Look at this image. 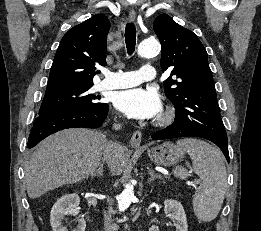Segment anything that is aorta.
<instances>
[{"label": "aorta", "mask_w": 261, "mask_h": 231, "mask_svg": "<svg viewBox=\"0 0 261 231\" xmlns=\"http://www.w3.org/2000/svg\"><path fill=\"white\" fill-rule=\"evenodd\" d=\"M160 51V45L156 40L148 39L142 41L138 46V55L144 58H150ZM134 198V187L127 185L118 197L119 211H125Z\"/></svg>", "instance_id": "aorta-1"}]
</instances>
